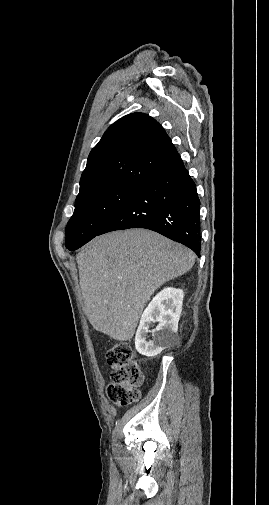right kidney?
<instances>
[{"mask_svg":"<svg viewBox=\"0 0 269 505\" xmlns=\"http://www.w3.org/2000/svg\"><path fill=\"white\" fill-rule=\"evenodd\" d=\"M183 297L181 289L168 287L152 299L142 314L135 336V347L140 354L154 357L175 341ZM156 322L158 325L150 331L149 327ZM149 332L153 334L152 342L146 340Z\"/></svg>","mask_w":269,"mask_h":505,"instance_id":"ca27d5eb","label":"right kidney"}]
</instances>
